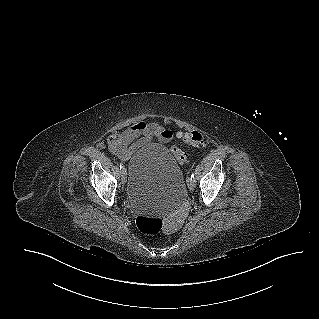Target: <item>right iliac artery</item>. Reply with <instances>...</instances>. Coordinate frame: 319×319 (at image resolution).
Segmentation results:
<instances>
[{
    "label": "right iliac artery",
    "mask_w": 319,
    "mask_h": 319,
    "mask_svg": "<svg viewBox=\"0 0 319 319\" xmlns=\"http://www.w3.org/2000/svg\"><path fill=\"white\" fill-rule=\"evenodd\" d=\"M119 167H120V171H121V173H123V172H124V170H125V168H124L123 164H122V163H120Z\"/></svg>",
    "instance_id": "right-iliac-artery-1"
}]
</instances>
